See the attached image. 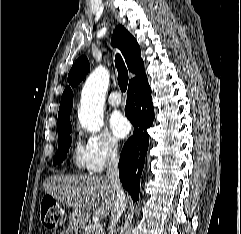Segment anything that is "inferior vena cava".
Segmentation results:
<instances>
[{"label":"inferior vena cava","mask_w":241,"mask_h":234,"mask_svg":"<svg viewBox=\"0 0 241 234\" xmlns=\"http://www.w3.org/2000/svg\"><path fill=\"white\" fill-rule=\"evenodd\" d=\"M119 156H118V146L115 143H112L110 146V151L108 155L107 160V170H106V176L108 181L110 182V185L115 193V201H114V208L111 212V218H110V227H109V233L108 234H114L115 227L117 222L120 219V216L122 215L125 206H126V196L124 194V191L121 187V183L119 180Z\"/></svg>","instance_id":"602c4592"}]
</instances>
